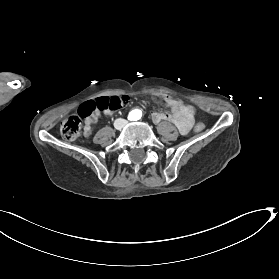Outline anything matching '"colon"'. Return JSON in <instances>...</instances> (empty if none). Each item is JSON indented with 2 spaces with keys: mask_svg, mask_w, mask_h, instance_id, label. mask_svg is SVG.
I'll list each match as a JSON object with an SVG mask.
<instances>
[{
  "mask_svg": "<svg viewBox=\"0 0 279 279\" xmlns=\"http://www.w3.org/2000/svg\"><path fill=\"white\" fill-rule=\"evenodd\" d=\"M129 103V97L126 95L100 97L95 100H89L83 103L76 114L68 116L61 124V135L66 140L72 141L77 139L81 133L82 118H86L94 111H117ZM186 110L193 117L196 110L191 105H184ZM205 129L203 122H197L194 126L195 132H202Z\"/></svg>",
  "mask_w": 279,
  "mask_h": 279,
  "instance_id": "colon-1",
  "label": "colon"
}]
</instances>
